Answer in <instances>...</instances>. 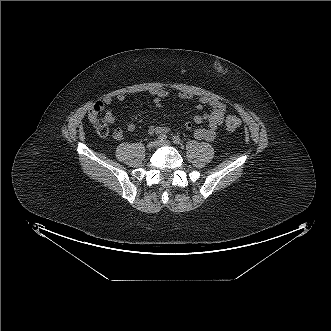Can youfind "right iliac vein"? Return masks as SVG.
I'll list each match as a JSON object with an SVG mask.
<instances>
[{
  "label": "right iliac vein",
  "instance_id": "right-iliac-vein-1",
  "mask_svg": "<svg viewBox=\"0 0 331 331\" xmlns=\"http://www.w3.org/2000/svg\"><path fill=\"white\" fill-rule=\"evenodd\" d=\"M158 145V142L157 141H151L147 144V148L148 149H153L155 146Z\"/></svg>",
  "mask_w": 331,
  "mask_h": 331
}]
</instances>
